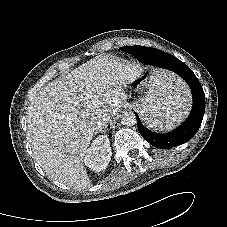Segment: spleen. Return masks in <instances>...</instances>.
<instances>
[{"mask_svg":"<svg viewBox=\"0 0 227 227\" xmlns=\"http://www.w3.org/2000/svg\"><path fill=\"white\" fill-rule=\"evenodd\" d=\"M189 93L181 79L164 70L155 71L151 88L139 106L142 119L150 127L172 129L188 114Z\"/></svg>","mask_w":227,"mask_h":227,"instance_id":"3e777b00","label":"spleen"}]
</instances>
